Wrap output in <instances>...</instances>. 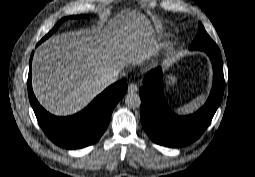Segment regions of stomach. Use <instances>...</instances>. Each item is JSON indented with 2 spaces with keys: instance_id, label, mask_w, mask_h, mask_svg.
<instances>
[{
  "instance_id": "1",
  "label": "stomach",
  "mask_w": 255,
  "mask_h": 177,
  "mask_svg": "<svg viewBox=\"0 0 255 177\" xmlns=\"http://www.w3.org/2000/svg\"><path fill=\"white\" fill-rule=\"evenodd\" d=\"M174 80H175V76L169 75V76H168V85H170L171 83H173ZM168 88H169V86H168Z\"/></svg>"
}]
</instances>
